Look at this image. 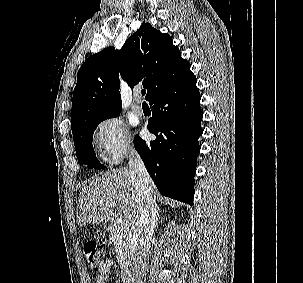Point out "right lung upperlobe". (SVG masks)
Returning a JSON list of instances; mask_svg holds the SVG:
<instances>
[{
  "mask_svg": "<svg viewBox=\"0 0 303 283\" xmlns=\"http://www.w3.org/2000/svg\"><path fill=\"white\" fill-rule=\"evenodd\" d=\"M190 66L169 34L142 23L120 50L106 48L90 56L79 69L72 100V132L86 122L120 114L119 73L130 87L142 82L150 101L183 81L192 73Z\"/></svg>",
  "mask_w": 303,
  "mask_h": 283,
  "instance_id": "obj_1",
  "label": "right lung upper lobe"
}]
</instances>
